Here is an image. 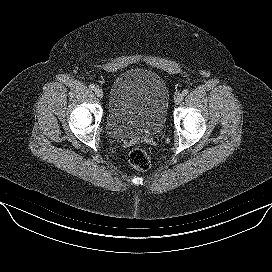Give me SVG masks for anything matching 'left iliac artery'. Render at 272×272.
<instances>
[{
  "label": "left iliac artery",
  "mask_w": 272,
  "mask_h": 272,
  "mask_svg": "<svg viewBox=\"0 0 272 272\" xmlns=\"http://www.w3.org/2000/svg\"><path fill=\"white\" fill-rule=\"evenodd\" d=\"M189 93V91H188V89H184L183 91H182V94L185 96V95H187Z\"/></svg>",
  "instance_id": "44dca946"
}]
</instances>
